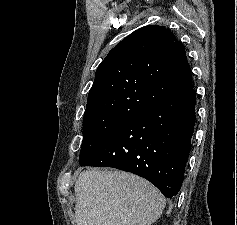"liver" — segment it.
Masks as SVG:
<instances>
[{
	"mask_svg": "<svg viewBox=\"0 0 237 225\" xmlns=\"http://www.w3.org/2000/svg\"><path fill=\"white\" fill-rule=\"evenodd\" d=\"M77 225H152L166 200L147 180L119 170H87L74 186Z\"/></svg>",
	"mask_w": 237,
	"mask_h": 225,
	"instance_id": "liver-1",
	"label": "liver"
}]
</instances>
